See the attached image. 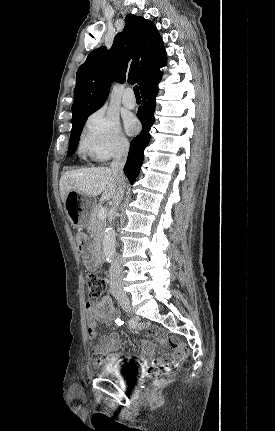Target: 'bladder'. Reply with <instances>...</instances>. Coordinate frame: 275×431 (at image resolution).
<instances>
[{"mask_svg": "<svg viewBox=\"0 0 275 431\" xmlns=\"http://www.w3.org/2000/svg\"><path fill=\"white\" fill-rule=\"evenodd\" d=\"M129 372L128 363L104 364L101 373L113 377L118 383H126Z\"/></svg>", "mask_w": 275, "mask_h": 431, "instance_id": "1", "label": "bladder"}]
</instances>
